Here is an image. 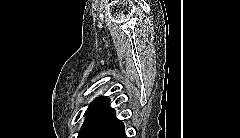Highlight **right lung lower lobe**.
I'll list each match as a JSON object with an SVG mask.
<instances>
[{"label": "right lung lower lobe", "mask_w": 240, "mask_h": 138, "mask_svg": "<svg viewBox=\"0 0 240 138\" xmlns=\"http://www.w3.org/2000/svg\"><path fill=\"white\" fill-rule=\"evenodd\" d=\"M87 138H127V136L124 124L113 114L97 126Z\"/></svg>", "instance_id": "1"}]
</instances>
